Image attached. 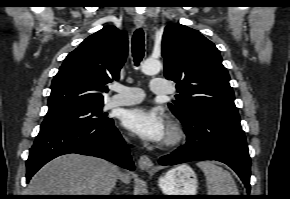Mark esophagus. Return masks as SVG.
I'll list each match as a JSON object with an SVG mask.
<instances>
[{
	"instance_id": "obj_1",
	"label": "esophagus",
	"mask_w": 290,
	"mask_h": 199,
	"mask_svg": "<svg viewBox=\"0 0 290 199\" xmlns=\"http://www.w3.org/2000/svg\"><path fill=\"white\" fill-rule=\"evenodd\" d=\"M134 23L136 27L140 28L144 25L145 19L142 15H136L134 17ZM138 165L142 170L149 171L153 169V162L147 155L140 156Z\"/></svg>"
}]
</instances>
